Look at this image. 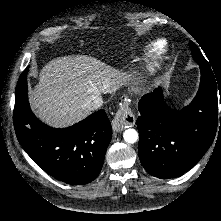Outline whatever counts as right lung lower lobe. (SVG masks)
<instances>
[{
  "mask_svg": "<svg viewBox=\"0 0 221 221\" xmlns=\"http://www.w3.org/2000/svg\"><path fill=\"white\" fill-rule=\"evenodd\" d=\"M27 67L19 77L14 108L15 132L32 160L57 180L72 185L93 181L100 173L112 127L104 110L63 129L43 124L27 97Z\"/></svg>",
  "mask_w": 221,
  "mask_h": 221,
  "instance_id": "98d812e1",
  "label": "right lung lower lobe"
}]
</instances>
